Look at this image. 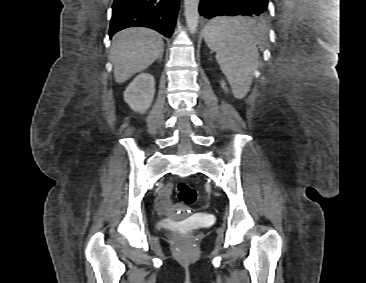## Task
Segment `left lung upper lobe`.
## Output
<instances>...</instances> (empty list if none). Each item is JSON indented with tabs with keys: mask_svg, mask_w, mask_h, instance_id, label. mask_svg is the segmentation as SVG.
<instances>
[{
	"mask_svg": "<svg viewBox=\"0 0 366 283\" xmlns=\"http://www.w3.org/2000/svg\"><path fill=\"white\" fill-rule=\"evenodd\" d=\"M267 4H268V0H264ZM267 13L268 12H266V13H263V14H261L260 16H257V17H254L255 19H258V18H265L266 16H267Z\"/></svg>",
	"mask_w": 366,
	"mask_h": 283,
	"instance_id": "1",
	"label": "left lung upper lobe"
}]
</instances>
